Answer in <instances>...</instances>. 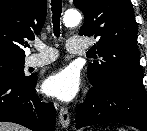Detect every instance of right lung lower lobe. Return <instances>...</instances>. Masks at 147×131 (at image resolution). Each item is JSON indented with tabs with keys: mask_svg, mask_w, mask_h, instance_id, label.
I'll return each instance as SVG.
<instances>
[{
	"mask_svg": "<svg viewBox=\"0 0 147 131\" xmlns=\"http://www.w3.org/2000/svg\"><path fill=\"white\" fill-rule=\"evenodd\" d=\"M35 86V77L0 80V121L14 122L33 131H54V105L41 102Z\"/></svg>",
	"mask_w": 147,
	"mask_h": 131,
	"instance_id": "1",
	"label": "right lung lower lobe"
}]
</instances>
